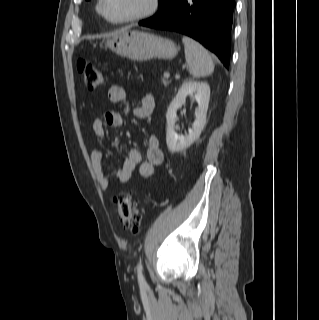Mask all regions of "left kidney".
I'll return each mask as SVG.
<instances>
[{
    "instance_id": "obj_1",
    "label": "left kidney",
    "mask_w": 319,
    "mask_h": 320,
    "mask_svg": "<svg viewBox=\"0 0 319 320\" xmlns=\"http://www.w3.org/2000/svg\"><path fill=\"white\" fill-rule=\"evenodd\" d=\"M195 94L198 107L195 110V121L189 133L179 136L175 132V122L177 120V110L185 103L186 97ZM210 99V87L205 82L185 81L176 97L170 103L167 113L166 143L172 153L180 152L189 147L198 137L206 124V115Z\"/></svg>"
}]
</instances>
